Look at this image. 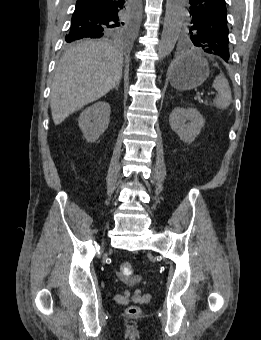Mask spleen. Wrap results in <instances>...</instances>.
Masks as SVG:
<instances>
[{"mask_svg": "<svg viewBox=\"0 0 261 340\" xmlns=\"http://www.w3.org/2000/svg\"><path fill=\"white\" fill-rule=\"evenodd\" d=\"M212 86L218 92L214 104L220 109H226L232 102L231 89L227 79L223 74H220L215 78Z\"/></svg>", "mask_w": 261, "mask_h": 340, "instance_id": "spleen-1", "label": "spleen"}]
</instances>
